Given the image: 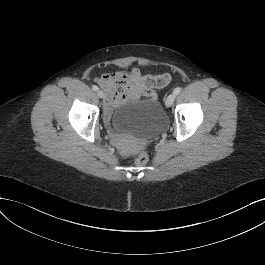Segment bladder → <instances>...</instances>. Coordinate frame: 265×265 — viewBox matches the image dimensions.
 <instances>
[{
	"label": "bladder",
	"instance_id": "1",
	"mask_svg": "<svg viewBox=\"0 0 265 265\" xmlns=\"http://www.w3.org/2000/svg\"><path fill=\"white\" fill-rule=\"evenodd\" d=\"M166 126L162 105L154 99L134 101L119 106L113 115L114 130L144 138L150 137Z\"/></svg>",
	"mask_w": 265,
	"mask_h": 265
}]
</instances>
